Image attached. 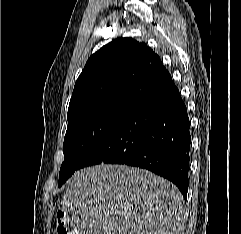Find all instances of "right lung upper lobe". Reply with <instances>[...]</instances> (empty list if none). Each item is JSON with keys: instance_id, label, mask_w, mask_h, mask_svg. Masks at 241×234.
Listing matches in <instances>:
<instances>
[{"instance_id": "cb5924a9", "label": "right lung upper lobe", "mask_w": 241, "mask_h": 234, "mask_svg": "<svg viewBox=\"0 0 241 234\" xmlns=\"http://www.w3.org/2000/svg\"><path fill=\"white\" fill-rule=\"evenodd\" d=\"M169 77L160 57L145 43L116 39L88 59L75 83L68 114L108 101L136 104Z\"/></svg>"}]
</instances>
